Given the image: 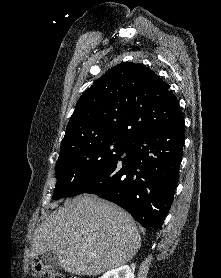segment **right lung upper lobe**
<instances>
[{
  "mask_svg": "<svg viewBox=\"0 0 221 278\" xmlns=\"http://www.w3.org/2000/svg\"><path fill=\"white\" fill-rule=\"evenodd\" d=\"M182 119L179 102L167 83L143 64L122 63L80 97L60 152L93 138L129 140Z\"/></svg>",
  "mask_w": 221,
  "mask_h": 278,
  "instance_id": "1",
  "label": "right lung upper lobe"
}]
</instances>
